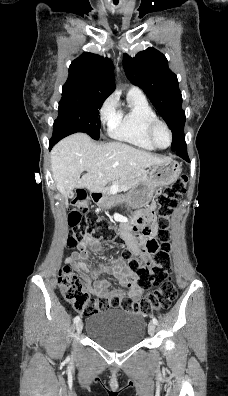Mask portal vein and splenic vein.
<instances>
[{
    "label": "portal vein and splenic vein",
    "instance_id": "obj_1",
    "mask_svg": "<svg viewBox=\"0 0 228 396\" xmlns=\"http://www.w3.org/2000/svg\"><path fill=\"white\" fill-rule=\"evenodd\" d=\"M123 190H127V188H124ZM118 191V188L117 187H114L113 188V192H117Z\"/></svg>",
    "mask_w": 228,
    "mask_h": 396
}]
</instances>
